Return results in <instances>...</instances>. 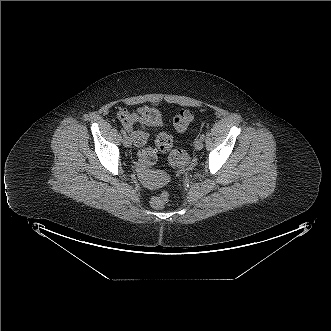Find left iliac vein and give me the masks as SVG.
I'll list each match as a JSON object with an SVG mask.
<instances>
[{
	"label": "left iliac vein",
	"instance_id": "left-iliac-vein-1",
	"mask_svg": "<svg viewBox=\"0 0 331 331\" xmlns=\"http://www.w3.org/2000/svg\"><path fill=\"white\" fill-rule=\"evenodd\" d=\"M194 147L196 150H201L203 148V141L201 138H197L194 142Z\"/></svg>",
	"mask_w": 331,
	"mask_h": 331
}]
</instances>
